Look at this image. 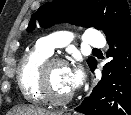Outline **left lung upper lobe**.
Segmentation results:
<instances>
[{"mask_svg":"<svg viewBox=\"0 0 131 115\" xmlns=\"http://www.w3.org/2000/svg\"><path fill=\"white\" fill-rule=\"evenodd\" d=\"M129 16H131L129 4L126 0H54L39 7L32 15L27 30H33L36 21L44 28L65 21L103 30L107 38ZM96 63L95 58H88L90 68Z\"/></svg>","mask_w":131,"mask_h":115,"instance_id":"left-lung-upper-lobe-1","label":"left lung upper lobe"}]
</instances>
